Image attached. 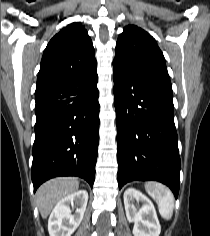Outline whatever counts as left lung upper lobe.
Returning <instances> with one entry per match:
<instances>
[{
  "instance_id": "5c2ea615",
  "label": "left lung upper lobe",
  "mask_w": 210,
  "mask_h": 236,
  "mask_svg": "<svg viewBox=\"0 0 210 236\" xmlns=\"http://www.w3.org/2000/svg\"><path fill=\"white\" fill-rule=\"evenodd\" d=\"M113 66L127 74L170 82L165 58L155 39L135 25H128L119 35Z\"/></svg>"
}]
</instances>
